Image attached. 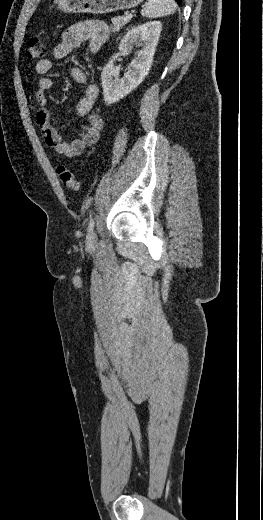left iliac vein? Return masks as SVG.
Listing matches in <instances>:
<instances>
[{"mask_svg":"<svg viewBox=\"0 0 263 520\" xmlns=\"http://www.w3.org/2000/svg\"><path fill=\"white\" fill-rule=\"evenodd\" d=\"M96 238H97V236H96L95 231H94V230L89 231V233H88V235H87V237H86V244H87L88 246H93V245H95V243H96Z\"/></svg>","mask_w":263,"mask_h":520,"instance_id":"1","label":"left iliac vein"}]
</instances>
